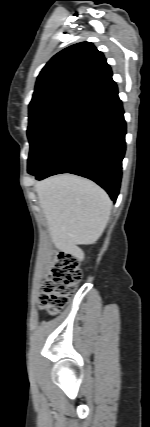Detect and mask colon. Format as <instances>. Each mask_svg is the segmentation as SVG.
I'll list each match as a JSON object with an SVG mask.
<instances>
[{"instance_id": "obj_1", "label": "colon", "mask_w": 150, "mask_h": 427, "mask_svg": "<svg viewBox=\"0 0 150 427\" xmlns=\"http://www.w3.org/2000/svg\"><path fill=\"white\" fill-rule=\"evenodd\" d=\"M81 275L79 260L74 254H56L43 282L40 307L50 314L60 312L67 305Z\"/></svg>"}]
</instances>
